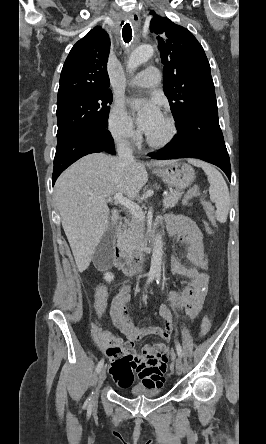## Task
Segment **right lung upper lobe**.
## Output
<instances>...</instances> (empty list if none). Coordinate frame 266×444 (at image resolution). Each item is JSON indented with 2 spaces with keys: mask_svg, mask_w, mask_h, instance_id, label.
Returning <instances> with one entry per match:
<instances>
[{
  "mask_svg": "<svg viewBox=\"0 0 266 444\" xmlns=\"http://www.w3.org/2000/svg\"><path fill=\"white\" fill-rule=\"evenodd\" d=\"M110 39L101 27H94L71 49L60 76L57 99L83 92L108 89L107 60Z\"/></svg>",
  "mask_w": 266,
  "mask_h": 444,
  "instance_id": "right-lung-upper-lobe-1",
  "label": "right lung upper lobe"
}]
</instances>
